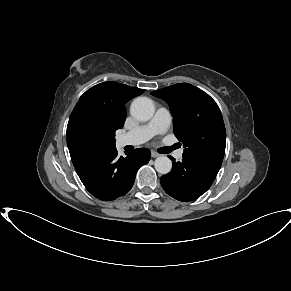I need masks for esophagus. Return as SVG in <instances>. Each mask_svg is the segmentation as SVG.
Instances as JSON below:
<instances>
[{"label":"esophagus","instance_id":"34e87169","mask_svg":"<svg viewBox=\"0 0 291 291\" xmlns=\"http://www.w3.org/2000/svg\"><path fill=\"white\" fill-rule=\"evenodd\" d=\"M151 156H152L153 158H156V157H159L160 154L157 153V152H155V151H152V152H151Z\"/></svg>","mask_w":291,"mask_h":291}]
</instances>
